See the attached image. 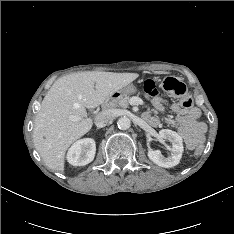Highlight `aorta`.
<instances>
[{"mask_svg":"<svg viewBox=\"0 0 234 234\" xmlns=\"http://www.w3.org/2000/svg\"><path fill=\"white\" fill-rule=\"evenodd\" d=\"M117 125L119 129L127 130L131 126V120L127 116H122L118 119Z\"/></svg>","mask_w":234,"mask_h":234,"instance_id":"1","label":"aorta"}]
</instances>
